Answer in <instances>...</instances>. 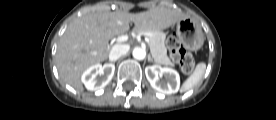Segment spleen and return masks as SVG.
I'll return each mask as SVG.
<instances>
[{
    "label": "spleen",
    "instance_id": "spleen-1",
    "mask_svg": "<svg viewBox=\"0 0 276 120\" xmlns=\"http://www.w3.org/2000/svg\"><path fill=\"white\" fill-rule=\"evenodd\" d=\"M206 70L204 62L198 63L194 72L184 81L181 87V92H186L196 86L202 79Z\"/></svg>",
    "mask_w": 276,
    "mask_h": 120
}]
</instances>
